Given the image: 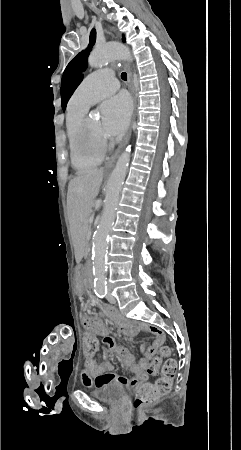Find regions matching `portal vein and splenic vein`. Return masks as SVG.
<instances>
[{"mask_svg": "<svg viewBox=\"0 0 241 450\" xmlns=\"http://www.w3.org/2000/svg\"><path fill=\"white\" fill-rule=\"evenodd\" d=\"M87 234H89V236H92V233L90 231H87Z\"/></svg>", "mask_w": 241, "mask_h": 450, "instance_id": "1", "label": "portal vein and splenic vein"}]
</instances>
